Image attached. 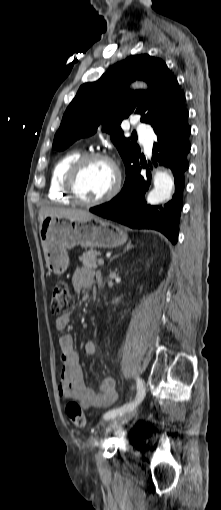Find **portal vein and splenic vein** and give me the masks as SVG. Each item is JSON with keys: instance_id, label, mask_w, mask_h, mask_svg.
I'll list each match as a JSON object with an SVG mask.
<instances>
[{"instance_id": "portal-vein-and-splenic-vein-1", "label": "portal vein and splenic vein", "mask_w": 221, "mask_h": 510, "mask_svg": "<svg viewBox=\"0 0 221 510\" xmlns=\"http://www.w3.org/2000/svg\"><path fill=\"white\" fill-rule=\"evenodd\" d=\"M98 264L99 265H104V260L103 259H98Z\"/></svg>"}]
</instances>
